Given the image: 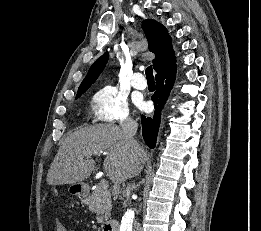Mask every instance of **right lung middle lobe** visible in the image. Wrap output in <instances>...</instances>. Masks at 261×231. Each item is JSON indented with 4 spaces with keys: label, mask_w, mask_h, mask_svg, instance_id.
Instances as JSON below:
<instances>
[{
    "label": "right lung middle lobe",
    "mask_w": 261,
    "mask_h": 231,
    "mask_svg": "<svg viewBox=\"0 0 261 231\" xmlns=\"http://www.w3.org/2000/svg\"><path fill=\"white\" fill-rule=\"evenodd\" d=\"M84 92L77 93L76 98H79Z\"/></svg>",
    "instance_id": "obj_1"
}]
</instances>
